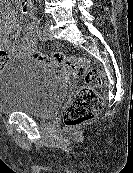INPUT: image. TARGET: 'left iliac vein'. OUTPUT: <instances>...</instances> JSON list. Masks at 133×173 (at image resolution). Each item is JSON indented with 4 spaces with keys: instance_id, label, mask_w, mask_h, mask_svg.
Instances as JSON below:
<instances>
[{
    "instance_id": "4c4485c4",
    "label": "left iliac vein",
    "mask_w": 133,
    "mask_h": 173,
    "mask_svg": "<svg viewBox=\"0 0 133 173\" xmlns=\"http://www.w3.org/2000/svg\"><path fill=\"white\" fill-rule=\"evenodd\" d=\"M53 38V35L49 29V24L47 23L43 29V39L44 40H51Z\"/></svg>"
}]
</instances>
